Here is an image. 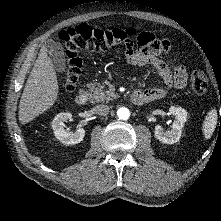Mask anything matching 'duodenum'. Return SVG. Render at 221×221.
Listing matches in <instances>:
<instances>
[{
    "instance_id": "410a0bca",
    "label": "duodenum",
    "mask_w": 221,
    "mask_h": 221,
    "mask_svg": "<svg viewBox=\"0 0 221 221\" xmlns=\"http://www.w3.org/2000/svg\"><path fill=\"white\" fill-rule=\"evenodd\" d=\"M130 98H131L132 103L136 105H140V104L147 102V99L145 98V96L141 92H138V91L133 92ZM87 100H88V95L84 91L79 92L75 98L76 103L80 106L85 105Z\"/></svg>"
}]
</instances>
